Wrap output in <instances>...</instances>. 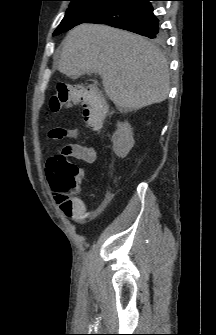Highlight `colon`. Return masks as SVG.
<instances>
[{
    "mask_svg": "<svg viewBox=\"0 0 216 335\" xmlns=\"http://www.w3.org/2000/svg\"><path fill=\"white\" fill-rule=\"evenodd\" d=\"M75 105H82L85 112L87 124L99 130L103 126L107 107L96 94L85 85L58 86L55 93L50 97L48 110L51 113H58L66 108ZM70 156V149L63 146L54 156L48 165L51 166L49 182L57 193V198L61 202V209L69 215L74 210H79L80 204L73 198L79 185H83L85 172H80V168L67 160Z\"/></svg>",
    "mask_w": 216,
    "mask_h": 335,
    "instance_id": "1",
    "label": "colon"
}]
</instances>
